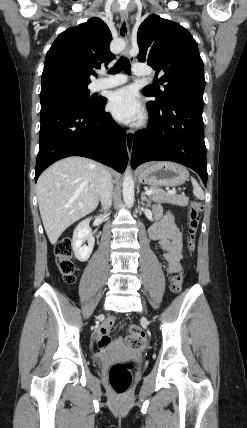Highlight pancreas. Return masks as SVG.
<instances>
[{
	"label": "pancreas",
	"mask_w": 247,
	"mask_h": 428,
	"mask_svg": "<svg viewBox=\"0 0 247 428\" xmlns=\"http://www.w3.org/2000/svg\"><path fill=\"white\" fill-rule=\"evenodd\" d=\"M150 190L154 191V193L150 195V198L155 202L170 203L178 206L188 205L189 198L185 195H171L156 186L150 187Z\"/></svg>",
	"instance_id": "cf45deb5"
}]
</instances>
